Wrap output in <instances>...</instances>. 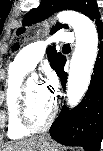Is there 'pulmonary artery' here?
<instances>
[{"label": "pulmonary artery", "mask_w": 103, "mask_h": 151, "mask_svg": "<svg viewBox=\"0 0 103 151\" xmlns=\"http://www.w3.org/2000/svg\"><path fill=\"white\" fill-rule=\"evenodd\" d=\"M73 41L74 35L72 33L61 31L52 38L26 46L17 54L15 61L27 70H31L43 58L49 44L52 42L72 43Z\"/></svg>", "instance_id": "obj_1"}]
</instances>
